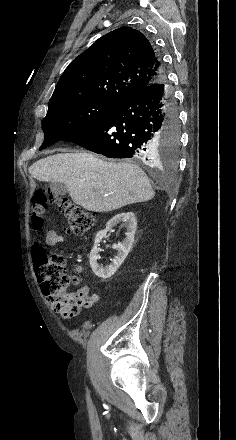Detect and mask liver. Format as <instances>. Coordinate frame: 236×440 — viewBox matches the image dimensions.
<instances>
[{
  "instance_id": "6515ba94",
  "label": "liver",
  "mask_w": 236,
  "mask_h": 440,
  "mask_svg": "<svg viewBox=\"0 0 236 440\" xmlns=\"http://www.w3.org/2000/svg\"><path fill=\"white\" fill-rule=\"evenodd\" d=\"M29 173L38 181L65 184L74 203L93 212L146 202L155 195L138 166L104 161L87 152L50 155L31 165Z\"/></svg>"
}]
</instances>
